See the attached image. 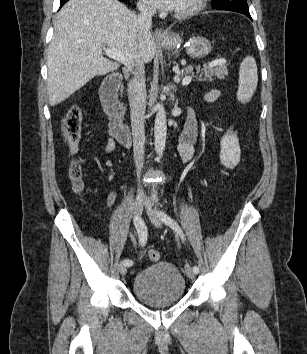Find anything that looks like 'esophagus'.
Returning <instances> with one entry per match:
<instances>
[{
	"instance_id": "1",
	"label": "esophagus",
	"mask_w": 307,
	"mask_h": 354,
	"mask_svg": "<svg viewBox=\"0 0 307 354\" xmlns=\"http://www.w3.org/2000/svg\"><path fill=\"white\" fill-rule=\"evenodd\" d=\"M154 36L157 40H164L167 38V33L163 29L157 28L155 30Z\"/></svg>"
}]
</instances>
